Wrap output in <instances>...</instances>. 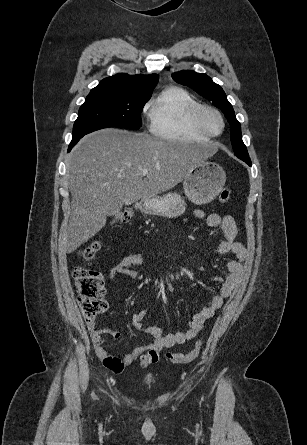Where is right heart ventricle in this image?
Listing matches in <instances>:
<instances>
[{
    "mask_svg": "<svg viewBox=\"0 0 307 445\" xmlns=\"http://www.w3.org/2000/svg\"><path fill=\"white\" fill-rule=\"evenodd\" d=\"M150 131L163 139L208 140L200 124V105L178 88L158 91L147 101Z\"/></svg>",
    "mask_w": 307,
    "mask_h": 445,
    "instance_id": "right-heart-ventricle-1",
    "label": "right heart ventricle"
}]
</instances>
